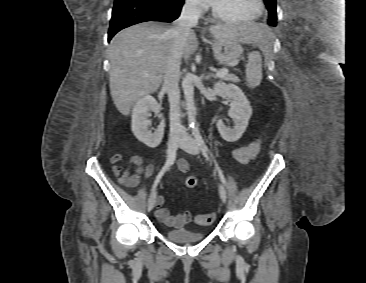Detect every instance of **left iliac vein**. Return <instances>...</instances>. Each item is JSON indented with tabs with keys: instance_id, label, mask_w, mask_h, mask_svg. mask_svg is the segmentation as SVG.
Instances as JSON below:
<instances>
[{
	"instance_id": "1",
	"label": "left iliac vein",
	"mask_w": 366,
	"mask_h": 283,
	"mask_svg": "<svg viewBox=\"0 0 366 283\" xmlns=\"http://www.w3.org/2000/svg\"><path fill=\"white\" fill-rule=\"evenodd\" d=\"M179 146L189 154L196 155L199 153V146L197 141L191 137L188 133H185L179 142ZM219 194L221 200L225 203L227 200V192L223 185L219 186Z\"/></svg>"
}]
</instances>
